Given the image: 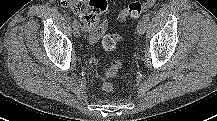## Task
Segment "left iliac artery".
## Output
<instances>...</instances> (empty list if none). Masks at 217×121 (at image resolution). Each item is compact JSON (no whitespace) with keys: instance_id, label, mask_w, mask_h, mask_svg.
<instances>
[{"instance_id":"1","label":"left iliac artery","mask_w":217,"mask_h":121,"mask_svg":"<svg viewBox=\"0 0 217 121\" xmlns=\"http://www.w3.org/2000/svg\"><path fill=\"white\" fill-rule=\"evenodd\" d=\"M142 19H143V21L148 22L150 20V15L146 14V15L143 16Z\"/></svg>"}]
</instances>
